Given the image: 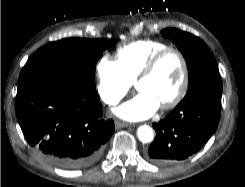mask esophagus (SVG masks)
Segmentation results:
<instances>
[{"label": "esophagus", "instance_id": "obj_1", "mask_svg": "<svg viewBox=\"0 0 245 187\" xmlns=\"http://www.w3.org/2000/svg\"><path fill=\"white\" fill-rule=\"evenodd\" d=\"M128 126H129L128 123L121 122V121H118V120L115 121V127L117 129H119V128H125V127H128Z\"/></svg>", "mask_w": 245, "mask_h": 187}]
</instances>
